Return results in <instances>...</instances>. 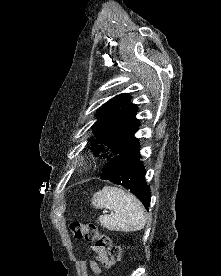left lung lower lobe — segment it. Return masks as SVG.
I'll return each mask as SVG.
<instances>
[{
  "label": "left lung lower lobe",
  "instance_id": "0a47b994",
  "mask_svg": "<svg viewBox=\"0 0 221 276\" xmlns=\"http://www.w3.org/2000/svg\"><path fill=\"white\" fill-rule=\"evenodd\" d=\"M139 141L107 160L100 178L129 189L146 207L150 206L151 192L145 181V166L140 160Z\"/></svg>",
  "mask_w": 221,
  "mask_h": 276
}]
</instances>
